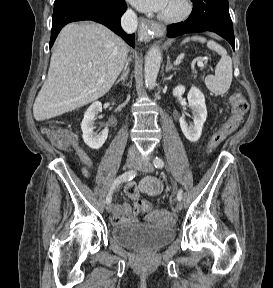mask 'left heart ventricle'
<instances>
[{
	"instance_id": "b2bd125f",
	"label": "left heart ventricle",
	"mask_w": 273,
	"mask_h": 288,
	"mask_svg": "<svg viewBox=\"0 0 273 288\" xmlns=\"http://www.w3.org/2000/svg\"><path fill=\"white\" fill-rule=\"evenodd\" d=\"M183 9L182 0H169L162 13L173 15L181 12Z\"/></svg>"
}]
</instances>
